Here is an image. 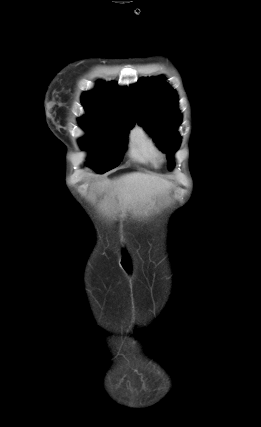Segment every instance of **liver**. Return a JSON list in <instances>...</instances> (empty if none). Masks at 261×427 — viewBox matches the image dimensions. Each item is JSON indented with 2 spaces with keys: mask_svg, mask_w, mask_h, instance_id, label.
Wrapping results in <instances>:
<instances>
[{
  "mask_svg": "<svg viewBox=\"0 0 261 427\" xmlns=\"http://www.w3.org/2000/svg\"><path fill=\"white\" fill-rule=\"evenodd\" d=\"M170 187L167 180L141 172L130 173L114 181L115 190L129 208L138 201L144 202L155 194L169 190Z\"/></svg>",
  "mask_w": 261,
  "mask_h": 427,
  "instance_id": "1",
  "label": "liver"
}]
</instances>
